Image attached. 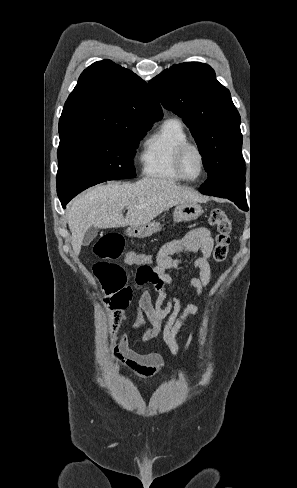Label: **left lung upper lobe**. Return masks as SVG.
Masks as SVG:
<instances>
[{
	"label": "left lung upper lobe",
	"instance_id": "obj_1",
	"mask_svg": "<svg viewBox=\"0 0 297 488\" xmlns=\"http://www.w3.org/2000/svg\"><path fill=\"white\" fill-rule=\"evenodd\" d=\"M149 85L162 105L183 119L197 143L208 173L200 192L247 204L241 118L214 70L200 62L174 65Z\"/></svg>",
	"mask_w": 297,
	"mask_h": 488
}]
</instances>
